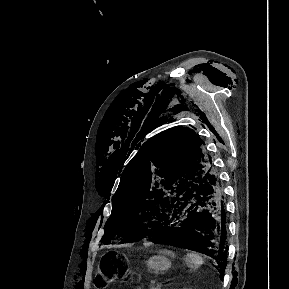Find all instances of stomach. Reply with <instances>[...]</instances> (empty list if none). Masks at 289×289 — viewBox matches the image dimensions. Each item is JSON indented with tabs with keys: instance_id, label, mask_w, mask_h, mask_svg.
I'll return each mask as SVG.
<instances>
[{
	"instance_id": "stomach-1",
	"label": "stomach",
	"mask_w": 289,
	"mask_h": 289,
	"mask_svg": "<svg viewBox=\"0 0 289 289\" xmlns=\"http://www.w3.org/2000/svg\"><path fill=\"white\" fill-rule=\"evenodd\" d=\"M169 252L162 251L146 260L148 269L153 273H161L171 267V261L168 258Z\"/></svg>"
}]
</instances>
